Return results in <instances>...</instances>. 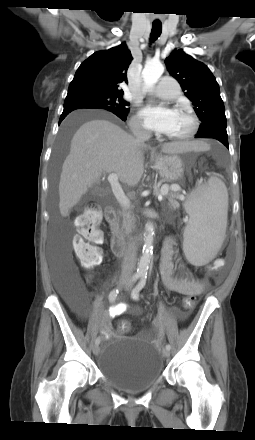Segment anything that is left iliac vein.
I'll use <instances>...</instances> for the list:
<instances>
[{"mask_svg":"<svg viewBox=\"0 0 255 440\" xmlns=\"http://www.w3.org/2000/svg\"><path fill=\"white\" fill-rule=\"evenodd\" d=\"M163 355H164V357H169V356H170V350H168L167 348H165V349L163 350Z\"/></svg>","mask_w":255,"mask_h":440,"instance_id":"4c4485c4","label":"left iliac vein"}]
</instances>
